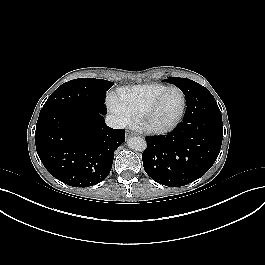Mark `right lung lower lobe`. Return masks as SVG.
<instances>
[{
    "label": "right lung lower lobe",
    "instance_id": "obj_1",
    "mask_svg": "<svg viewBox=\"0 0 265 265\" xmlns=\"http://www.w3.org/2000/svg\"><path fill=\"white\" fill-rule=\"evenodd\" d=\"M103 115L96 109L70 106L41 109L36 150L55 178L72 187H89L108 176L125 131L107 126Z\"/></svg>",
    "mask_w": 265,
    "mask_h": 265
}]
</instances>
